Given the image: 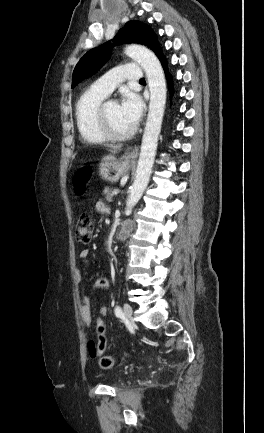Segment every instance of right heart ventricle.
Listing matches in <instances>:
<instances>
[{"label":"right heart ventricle","instance_id":"right-heart-ventricle-1","mask_svg":"<svg viewBox=\"0 0 264 433\" xmlns=\"http://www.w3.org/2000/svg\"><path fill=\"white\" fill-rule=\"evenodd\" d=\"M106 98L92 88L84 91L75 105V120L78 132L87 143H101L107 140L97 122V110Z\"/></svg>","mask_w":264,"mask_h":433}]
</instances>
